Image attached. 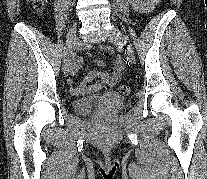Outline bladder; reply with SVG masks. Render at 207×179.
<instances>
[{"instance_id": "obj_1", "label": "bladder", "mask_w": 207, "mask_h": 179, "mask_svg": "<svg viewBox=\"0 0 207 179\" xmlns=\"http://www.w3.org/2000/svg\"><path fill=\"white\" fill-rule=\"evenodd\" d=\"M104 99H105L104 95L98 94V95L75 100L73 106L77 113L81 115H89L95 109L101 106V103Z\"/></svg>"}]
</instances>
